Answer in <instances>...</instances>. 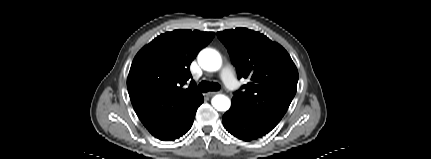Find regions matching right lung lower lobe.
<instances>
[{
    "label": "right lung lower lobe",
    "mask_w": 431,
    "mask_h": 159,
    "mask_svg": "<svg viewBox=\"0 0 431 159\" xmlns=\"http://www.w3.org/2000/svg\"><path fill=\"white\" fill-rule=\"evenodd\" d=\"M203 100L204 98L201 95L188 107V109L175 123V125L171 127L165 134L158 138L163 141H173L183 136L191 128L196 111L198 107L203 103Z\"/></svg>",
    "instance_id": "98d812e1"
}]
</instances>
